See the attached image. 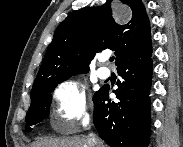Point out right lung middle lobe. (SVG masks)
<instances>
[{"label": "right lung middle lobe", "mask_w": 183, "mask_h": 147, "mask_svg": "<svg viewBox=\"0 0 183 147\" xmlns=\"http://www.w3.org/2000/svg\"><path fill=\"white\" fill-rule=\"evenodd\" d=\"M69 77L57 79L49 85L37 90L31 91V105L26 115L27 131H31V125L43 121L49 115V108L52 100L54 88Z\"/></svg>", "instance_id": "obj_1"}]
</instances>
